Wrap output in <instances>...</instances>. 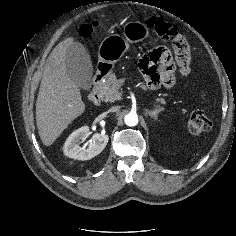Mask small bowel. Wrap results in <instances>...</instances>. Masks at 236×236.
Listing matches in <instances>:
<instances>
[{"label": "small bowel", "mask_w": 236, "mask_h": 236, "mask_svg": "<svg viewBox=\"0 0 236 236\" xmlns=\"http://www.w3.org/2000/svg\"><path fill=\"white\" fill-rule=\"evenodd\" d=\"M190 51L186 57L176 55V61L169 49L157 47L145 54L140 60V69L150 89L171 88L175 83V72L178 68L183 76L190 72Z\"/></svg>", "instance_id": "obj_1"}]
</instances>
